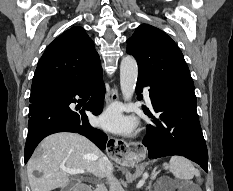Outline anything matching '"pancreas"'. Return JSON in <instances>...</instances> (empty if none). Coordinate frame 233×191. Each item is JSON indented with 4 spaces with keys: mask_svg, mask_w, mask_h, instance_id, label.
Wrapping results in <instances>:
<instances>
[{
    "mask_svg": "<svg viewBox=\"0 0 233 191\" xmlns=\"http://www.w3.org/2000/svg\"><path fill=\"white\" fill-rule=\"evenodd\" d=\"M94 191H107V190L103 187H99V188L95 189Z\"/></svg>",
    "mask_w": 233,
    "mask_h": 191,
    "instance_id": "1",
    "label": "pancreas"
}]
</instances>
